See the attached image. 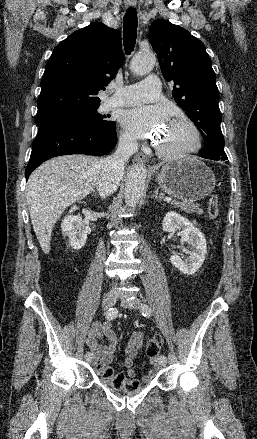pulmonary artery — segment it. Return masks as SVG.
Instances as JSON below:
<instances>
[{
    "label": "pulmonary artery",
    "mask_w": 257,
    "mask_h": 439,
    "mask_svg": "<svg viewBox=\"0 0 257 439\" xmlns=\"http://www.w3.org/2000/svg\"><path fill=\"white\" fill-rule=\"evenodd\" d=\"M160 94V81L155 75L148 76L142 82L124 86L113 87V95L108 99V106H129L143 102L153 101Z\"/></svg>",
    "instance_id": "1"
}]
</instances>
